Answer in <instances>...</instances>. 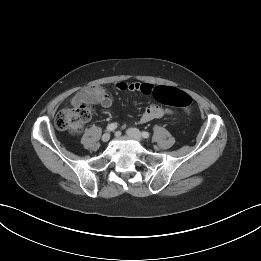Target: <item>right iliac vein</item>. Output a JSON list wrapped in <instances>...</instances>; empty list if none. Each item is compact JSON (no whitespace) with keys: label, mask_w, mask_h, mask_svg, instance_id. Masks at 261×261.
I'll use <instances>...</instances> for the list:
<instances>
[{"label":"right iliac vein","mask_w":261,"mask_h":261,"mask_svg":"<svg viewBox=\"0 0 261 261\" xmlns=\"http://www.w3.org/2000/svg\"><path fill=\"white\" fill-rule=\"evenodd\" d=\"M109 139H110V133L103 134V136H102L103 142H107V141H109Z\"/></svg>","instance_id":"63e3f726"}]
</instances>
